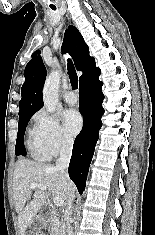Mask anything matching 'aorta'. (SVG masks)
I'll return each instance as SVG.
<instances>
[{"label":"aorta","instance_id":"obj_1","mask_svg":"<svg viewBox=\"0 0 155 235\" xmlns=\"http://www.w3.org/2000/svg\"><path fill=\"white\" fill-rule=\"evenodd\" d=\"M60 85V73L52 71L46 78L43 87V102L47 110L53 113L58 104V89Z\"/></svg>","mask_w":155,"mask_h":235}]
</instances>
